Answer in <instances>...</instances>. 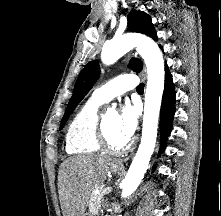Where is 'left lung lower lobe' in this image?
Instances as JSON below:
<instances>
[{
	"label": "left lung lower lobe",
	"mask_w": 221,
	"mask_h": 216,
	"mask_svg": "<svg viewBox=\"0 0 221 216\" xmlns=\"http://www.w3.org/2000/svg\"><path fill=\"white\" fill-rule=\"evenodd\" d=\"M162 48V47H161ZM175 91L172 81V75L166 66L165 88L160 110V134H161V147L163 151L166 146L167 138L171 132L172 120L175 113Z\"/></svg>",
	"instance_id": "left-lung-lower-lobe-1"
}]
</instances>
